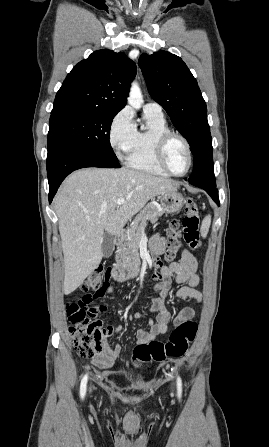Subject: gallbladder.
I'll use <instances>...</instances> for the list:
<instances>
[{
    "instance_id": "obj_1",
    "label": "gallbladder",
    "mask_w": 269,
    "mask_h": 447,
    "mask_svg": "<svg viewBox=\"0 0 269 447\" xmlns=\"http://www.w3.org/2000/svg\"><path fill=\"white\" fill-rule=\"evenodd\" d=\"M114 251V237L105 231L102 241V253L104 257H109Z\"/></svg>"
}]
</instances>
